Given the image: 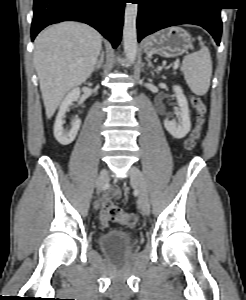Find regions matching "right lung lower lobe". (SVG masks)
Returning a JSON list of instances; mask_svg holds the SVG:
<instances>
[{
    "instance_id": "right-lung-lower-lobe-1",
    "label": "right lung lower lobe",
    "mask_w": 246,
    "mask_h": 300,
    "mask_svg": "<svg viewBox=\"0 0 246 300\" xmlns=\"http://www.w3.org/2000/svg\"><path fill=\"white\" fill-rule=\"evenodd\" d=\"M125 0H34L31 40L46 26L80 21L97 29L114 48L121 40Z\"/></svg>"
}]
</instances>
